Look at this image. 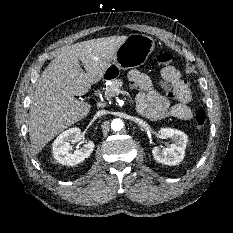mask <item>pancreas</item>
Masks as SVG:
<instances>
[{"label": "pancreas", "mask_w": 233, "mask_h": 233, "mask_svg": "<svg viewBox=\"0 0 233 233\" xmlns=\"http://www.w3.org/2000/svg\"><path fill=\"white\" fill-rule=\"evenodd\" d=\"M122 86L123 82L121 79H113L111 84L105 87V96L107 98L114 97L118 94V91H120Z\"/></svg>", "instance_id": "pancreas-1"}]
</instances>
